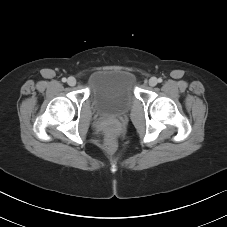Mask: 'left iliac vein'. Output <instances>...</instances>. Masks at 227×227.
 <instances>
[{
	"instance_id": "1",
	"label": "left iliac vein",
	"mask_w": 227,
	"mask_h": 227,
	"mask_svg": "<svg viewBox=\"0 0 227 227\" xmlns=\"http://www.w3.org/2000/svg\"><path fill=\"white\" fill-rule=\"evenodd\" d=\"M157 83H158L157 78L151 77V78L149 79V85H150V86L154 87V86L157 85Z\"/></svg>"
}]
</instances>
